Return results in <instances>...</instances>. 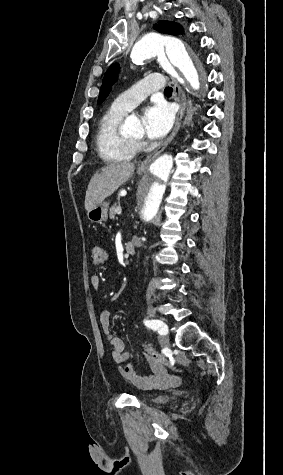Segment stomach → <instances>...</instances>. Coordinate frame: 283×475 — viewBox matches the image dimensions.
<instances>
[{"label":"stomach","mask_w":283,"mask_h":475,"mask_svg":"<svg viewBox=\"0 0 283 475\" xmlns=\"http://www.w3.org/2000/svg\"><path fill=\"white\" fill-rule=\"evenodd\" d=\"M137 174H146V170H137ZM108 202H101L99 206L93 208V210H88L87 218L90 220L91 224H100V222H106L108 218Z\"/></svg>","instance_id":"0dacf381"}]
</instances>
